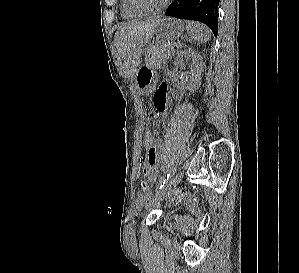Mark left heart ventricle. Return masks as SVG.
Here are the masks:
<instances>
[{"instance_id": "1", "label": "left heart ventricle", "mask_w": 299, "mask_h": 273, "mask_svg": "<svg viewBox=\"0 0 299 273\" xmlns=\"http://www.w3.org/2000/svg\"><path fill=\"white\" fill-rule=\"evenodd\" d=\"M142 3L150 8L158 7L164 0H141Z\"/></svg>"}]
</instances>
